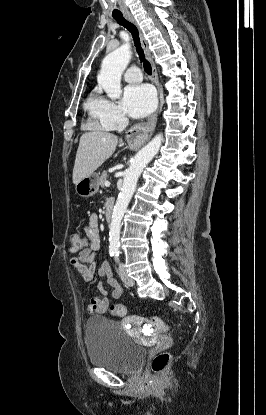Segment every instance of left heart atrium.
I'll list each match as a JSON object with an SVG mask.
<instances>
[{"mask_svg": "<svg viewBox=\"0 0 266 415\" xmlns=\"http://www.w3.org/2000/svg\"><path fill=\"white\" fill-rule=\"evenodd\" d=\"M123 108L133 118H142L150 114L156 105L153 88L147 84L131 85L125 89Z\"/></svg>", "mask_w": 266, "mask_h": 415, "instance_id": "1", "label": "left heart atrium"}]
</instances>
